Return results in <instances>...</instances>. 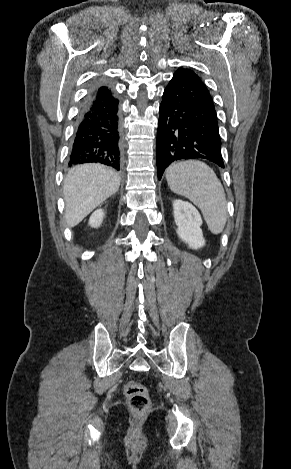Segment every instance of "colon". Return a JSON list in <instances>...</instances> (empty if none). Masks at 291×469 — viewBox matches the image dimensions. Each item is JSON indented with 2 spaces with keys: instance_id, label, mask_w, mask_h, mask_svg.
Returning <instances> with one entry per match:
<instances>
[{
  "instance_id": "5ec220e1",
  "label": "colon",
  "mask_w": 291,
  "mask_h": 469,
  "mask_svg": "<svg viewBox=\"0 0 291 469\" xmlns=\"http://www.w3.org/2000/svg\"><path fill=\"white\" fill-rule=\"evenodd\" d=\"M129 408L137 413L145 412L151 405L148 389L141 383L129 381L124 387Z\"/></svg>"
}]
</instances>
